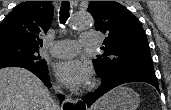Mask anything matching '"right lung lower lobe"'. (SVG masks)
<instances>
[{
	"mask_svg": "<svg viewBox=\"0 0 171 110\" xmlns=\"http://www.w3.org/2000/svg\"><path fill=\"white\" fill-rule=\"evenodd\" d=\"M30 70L31 72H33L37 77H39L42 82H44L45 85L47 86H50V81H49V77H48V71H45V72H41V71H37V70H31V69H28ZM59 99L60 101L62 102L64 97L62 95H59Z\"/></svg>",
	"mask_w": 171,
	"mask_h": 110,
	"instance_id": "right-lung-lower-lobe-1",
	"label": "right lung lower lobe"
}]
</instances>
